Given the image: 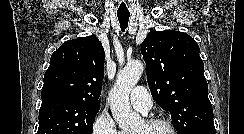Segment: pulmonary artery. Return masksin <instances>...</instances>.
Listing matches in <instances>:
<instances>
[{
	"label": "pulmonary artery",
	"mask_w": 244,
	"mask_h": 134,
	"mask_svg": "<svg viewBox=\"0 0 244 134\" xmlns=\"http://www.w3.org/2000/svg\"><path fill=\"white\" fill-rule=\"evenodd\" d=\"M130 103L138 111L146 114L152 107V99L143 86L135 87L130 94Z\"/></svg>",
	"instance_id": "obj_1"
}]
</instances>
